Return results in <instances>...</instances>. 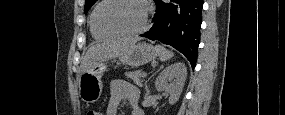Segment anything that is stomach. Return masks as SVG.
Segmentation results:
<instances>
[{"label": "stomach", "mask_w": 285, "mask_h": 115, "mask_svg": "<svg viewBox=\"0 0 285 115\" xmlns=\"http://www.w3.org/2000/svg\"><path fill=\"white\" fill-rule=\"evenodd\" d=\"M158 55L156 47L146 43H138L120 56L118 61L124 65L139 67L154 60ZM106 70L107 64L98 62L80 75L78 81L79 96L84 102L94 103L98 101L103 89L101 78Z\"/></svg>", "instance_id": "obj_1"}]
</instances>
